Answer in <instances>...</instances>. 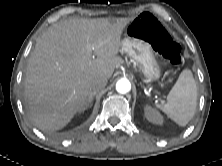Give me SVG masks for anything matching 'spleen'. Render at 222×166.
I'll list each match as a JSON object with an SVG mask.
<instances>
[{
    "label": "spleen",
    "instance_id": "obj_1",
    "mask_svg": "<svg viewBox=\"0 0 222 166\" xmlns=\"http://www.w3.org/2000/svg\"><path fill=\"white\" fill-rule=\"evenodd\" d=\"M179 126H186L193 118L197 106V85L191 70H183L167 95L165 104H156Z\"/></svg>",
    "mask_w": 222,
    "mask_h": 166
}]
</instances>
